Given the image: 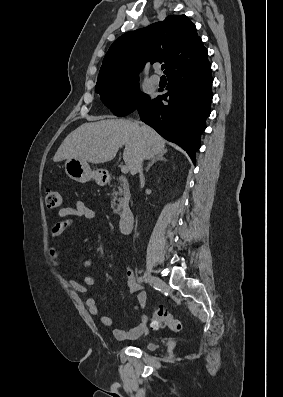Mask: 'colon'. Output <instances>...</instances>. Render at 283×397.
<instances>
[{
    "instance_id": "1",
    "label": "colon",
    "mask_w": 283,
    "mask_h": 397,
    "mask_svg": "<svg viewBox=\"0 0 283 397\" xmlns=\"http://www.w3.org/2000/svg\"><path fill=\"white\" fill-rule=\"evenodd\" d=\"M45 203L47 207L52 209L61 207V194L55 189L47 188L45 190ZM151 325L153 328L167 326L173 331H180L182 329V322L175 317L171 309L165 306L154 307Z\"/></svg>"
}]
</instances>
